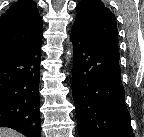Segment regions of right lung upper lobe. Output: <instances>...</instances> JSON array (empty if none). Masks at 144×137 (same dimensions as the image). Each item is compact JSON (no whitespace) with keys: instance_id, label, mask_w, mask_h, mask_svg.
I'll list each match as a JSON object with an SVG mask.
<instances>
[{"instance_id":"obj_1","label":"right lung upper lobe","mask_w":144,"mask_h":137,"mask_svg":"<svg viewBox=\"0 0 144 137\" xmlns=\"http://www.w3.org/2000/svg\"><path fill=\"white\" fill-rule=\"evenodd\" d=\"M42 19L32 0H19L0 18V60L42 38Z\"/></svg>"}]
</instances>
